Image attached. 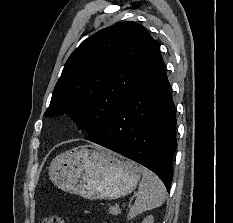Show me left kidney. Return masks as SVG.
<instances>
[{
    "label": "left kidney",
    "instance_id": "obj_1",
    "mask_svg": "<svg viewBox=\"0 0 233 223\" xmlns=\"http://www.w3.org/2000/svg\"><path fill=\"white\" fill-rule=\"evenodd\" d=\"M153 221H154L153 215H147V217L143 219L142 223H153Z\"/></svg>",
    "mask_w": 233,
    "mask_h": 223
}]
</instances>
